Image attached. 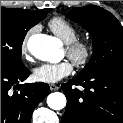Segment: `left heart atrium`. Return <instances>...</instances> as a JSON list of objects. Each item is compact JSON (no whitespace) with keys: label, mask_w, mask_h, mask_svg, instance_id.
<instances>
[{"label":"left heart atrium","mask_w":123,"mask_h":123,"mask_svg":"<svg viewBox=\"0 0 123 123\" xmlns=\"http://www.w3.org/2000/svg\"><path fill=\"white\" fill-rule=\"evenodd\" d=\"M73 66L69 61L45 63L38 66L33 73L34 79L42 83H56L70 75Z\"/></svg>","instance_id":"39dd6f15"}]
</instances>
